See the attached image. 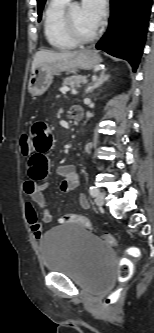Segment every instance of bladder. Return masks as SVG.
Instances as JSON below:
<instances>
[{
  "label": "bladder",
  "instance_id": "31cf9c89",
  "mask_svg": "<svg viewBox=\"0 0 154 333\" xmlns=\"http://www.w3.org/2000/svg\"><path fill=\"white\" fill-rule=\"evenodd\" d=\"M39 250L47 271L65 274L85 286H108L112 281L113 249L81 224L51 228L40 239Z\"/></svg>",
  "mask_w": 154,
  "mask_h": 333
}]
</instances>
